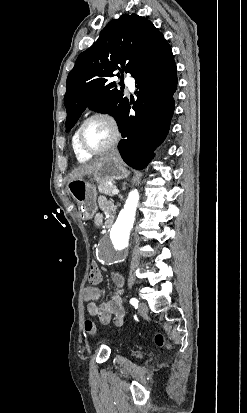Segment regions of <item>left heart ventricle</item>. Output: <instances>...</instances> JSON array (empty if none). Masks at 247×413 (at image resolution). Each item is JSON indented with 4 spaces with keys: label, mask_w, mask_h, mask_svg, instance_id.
<instances>
[{
    "label": "left heart ventricle",
    "mask_w": 247,
    "mask_h": 413,
    "mask_svg": "<svg viewBox=\"0 0 247 413\" xmlns=\"http://www.w3.org/2000/svg\"><path fill=\"white\" fill-rule=\"evenodd\" d=\"M113 136V128L106 121H93L82 132V142L89 149H99L105 146Z\"/></svg>",
    "instance_id": "obj_1"
}]
</instances>
